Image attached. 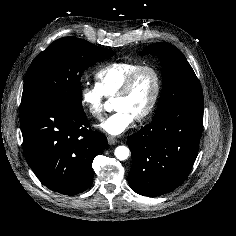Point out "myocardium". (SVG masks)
Segmentation results:
<instances>
[{
  "label": "myocardium",
  "instance_id": "1",
  "mask_svg": "<svg viewBox=\"0 0 236 236\" xmlns=\"http://www.w3.org/2000/svg\"><path fill=\"white\" fill-rule=\"evenodd\" d=\"M144 71H149L153 74L155 79V91L149 106L141 114L135 117L136 121L146 120L154 113L157 108L162 93V77L160 71L151 64L140 65L127 77L120 90L114 96V99L127 96L139 75Z\"/></svg>",
  "mask_w": 236,
  "mask_h": 236
}]
</instances>
